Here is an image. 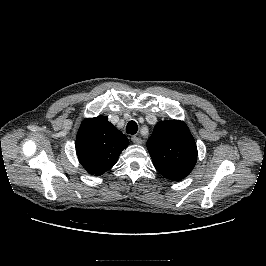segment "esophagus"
<instances>
[{"label": "esophagus", "instance_id": "obj_1", "mask_svg": "<svg viewBox=\"0 0 266 266\" xmlns=\"http://www.w3.org/2000/svg\"><path fill=\"white\" fill-rule=\"evenodd\" d=\"M131 140L134 144H138V145L142 144V142H143V140L137 136H132Z\"/></svg>", "mask_w": 266, "mask_h": 266}]
</instances>
